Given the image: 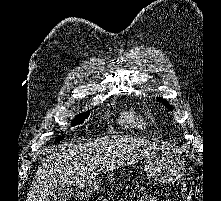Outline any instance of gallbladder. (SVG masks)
Segmentation results:
<instances>
[{
    "mask_svg": "<svg viewBox=\"0 0 221 201\" xmlns=\"http://www.w3.org/2000/svg\"><path fill=\"white\" fill-rule=\"evenodd\" d=\"M73 193V188L70 185H59L55 188L51 198L53 201H67Z\"/></svg>",
    "mask_w": 221,
    "mask_h": 201,
    "instance_id": "1",
    "label": "gallbladder"
}]
</instances>
